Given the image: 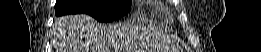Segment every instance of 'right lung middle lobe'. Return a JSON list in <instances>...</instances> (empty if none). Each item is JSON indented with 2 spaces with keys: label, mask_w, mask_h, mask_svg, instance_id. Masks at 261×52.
<instances>
[{
  "label": "right lung middle lobe",
  "mask_w": 261,
  "mask_h": 52,
  "mask_svg": "<svg viewBox=\"0 0 261 52\" xmlns=\"http://www.w3.org/2000/svg\"><path fill=\"white\" fill-rule=\"evenodd\" d=\"M130 7V0H57L55 14L86 13L100 22H108L125 15Z\"/></svg>",
  "instance_id": "obj_1"
}]
</instances>
